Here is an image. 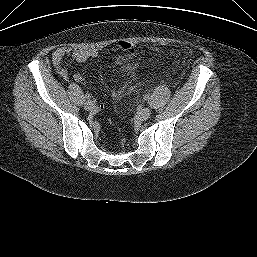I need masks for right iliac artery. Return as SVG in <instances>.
<instances>
[{
	"label": "right iliac artery",
	"mask_w": 257,
	"mask_h": 257,
	"mask_svg": "<svg viewBox=\"0 0 257 257\" xmlns=\"http://www.w3.org/2000/svg\"><path fill=\"white\" fill-rule=\"evenodd\" d=\"M85 98H86L87 100H90V99H91L90 94L86 93V94H85Z\"/></svg>",
	"instance_id": "82829eb1"
}]
</instances>
